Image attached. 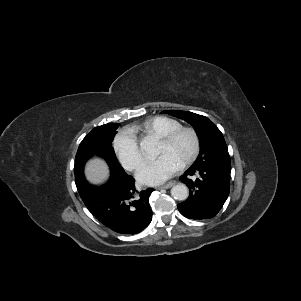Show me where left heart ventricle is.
I'll return each instance as SVG.
<instances>
[{
    "label": "left heart ventricle",
    "mask_w": 301,
    "mask_h": 301,
    "mask_svg": "<svg viewBox=\"0 0 301 301\" xmlns=\"http://www.w3.org/2000/svg\"><path fill=\"white\" fill-rule=\"evenodd\" d=\"M192 147L193 143L190 135L184 134L172 144H166L160 141L157 154H169L182 163V161L190 154Z\"/></svg>",
    "instance_id": "b2bd125f"
}]
</instances>
